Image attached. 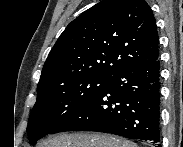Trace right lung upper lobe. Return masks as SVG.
Wrapping results in <instances>:
<instances>
[{
	"instance_id": "1",
	"label": "right lung upper lobe",
	"mask_w": 183,
	"mask_h": 147,
	"mask_svg": "<svg viewBox=\"0 0 183 147\" xmlns=\"http://www.w3.org/2000/svg\"><path fill=\"white\" fill-rule=\"evenodd\" d=\"M158 33L144 0H102L73 20L44 64L37 90L85 77L111 78L156 61Z\"/></svg>"
}]
</instances>
